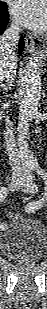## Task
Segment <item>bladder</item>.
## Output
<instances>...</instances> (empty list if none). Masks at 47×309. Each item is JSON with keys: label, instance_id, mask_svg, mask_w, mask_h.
Segmentation results:
<instances>
[{"label": "bladder", "instance_id": "31cf9c89", "mask_svg": "<svg viewBox=\"0 0 47 309\" xmlns=\"http://www.w3.org/2000/svg\"><path fill=\"white\" fill-rule=\"evenodd\" d=\"M47 249V228L32 218L19 217L3 233L0 250L13 259L40 258Z\"/></svg>", "mask_w": 47, "mask_h": 309}]
</instances>
